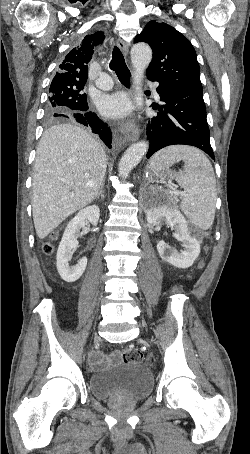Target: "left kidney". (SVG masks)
I'll list each match as a JSON object with an SVG mask.
<instances>
[{
	"mask_svg": "<svg viewBox=\"0 0 250 454\" xmlns=\"http://www.w3.org/2000/svg\"><path fill=\"white\" fill-rule=\"evenodd\" d=\"M147 222L152 225L167 224L174 229L175 238L182 242L184 251L173 250L164 241L157 243L159 255L171 265L178 268H188L193 265L200 253V241L189 227L185 217L174 207L160 206L147 212Z\"/></svg>",
	"mask_w": 250,
	"mask_h": 454,
	"instance_id": "5707ae66",
	"label": "left kidney"
}]
</instances>
